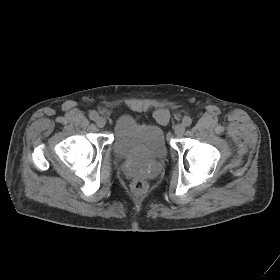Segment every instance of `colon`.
<instances>
[{"mask_svg": "<svg viewBox=\"0 0 280 280\" xmlns=\"http://www.w3.org/2000/svg\"><path fill=\"white\" fill-rule=\"evenodd\" d=\"M132 188L136 193L141 194L147 190L148 185H147L146 181H144L142 179H136L132 183Z\"/></svg>", "mask_w": 280, "mask_h": 280, "instance_id": "obj_1", "label": "colon"}]
</instances>
